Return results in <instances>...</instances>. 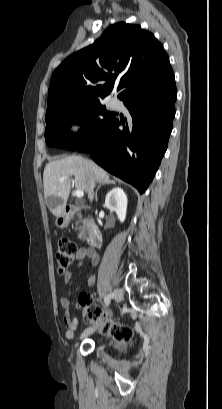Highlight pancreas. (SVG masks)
<instances>
[{"label":"pancreas","mask_w":222,"mask_h":409,"mask_svg":"<svg viewBox=\"0 0 222 409\" xmlns=\"http://www.w3.org/2000/svg\"><path fill=\"white\" fill-rule=\"evenodd\" d=\"M78 217L80 219V222L83 224L80 231V236L81 238H85V231L88 229V224L86 219H82V215L78 214Z\"/></svg>","instance_id":"pancreas-1"}]
</instances>
